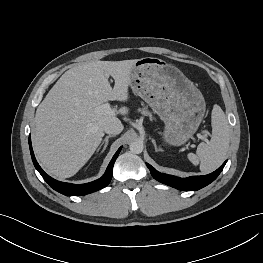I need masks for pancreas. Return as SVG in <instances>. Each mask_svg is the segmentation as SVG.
I'll use <instances>...</instances> for the list:
<instances>
[{"label": "pancreas", "mask_w": 263, "mask_h": 263, "mask_svg": "<svg viewBox=\"0 0 263 263\" xmlns=\"http://www.w3.org/2000/svg\"><path fill=\"white\" fill-rule=\"evenodd\" d=\"M141 113H142L143 115H145V116H149L150 118H152L151 113L148 112L146 109L141 110Z\"/></svg>", "instance_id": "1"}]
</instances>
